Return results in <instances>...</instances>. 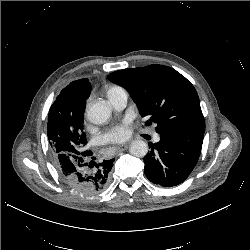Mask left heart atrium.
<instances>
[{
	"instance_id": "left-heart-atrium-1",
	"label": "left heart atrium",
	"mask_w": 250,
	"mask_h": 250,
	"mask_svg": "<svg viewBox=\"0 0 250 250\" xmlns=\"http://www.w3.org/2000/svg\"><path fill=\"white\" fill-rule=\"evenodd\" d=\"M129 123L130 121L126 119L112 126L102 134L101 140L104 143H121L127 140L130 136Z\"/></svg>"
}]
</instances>
